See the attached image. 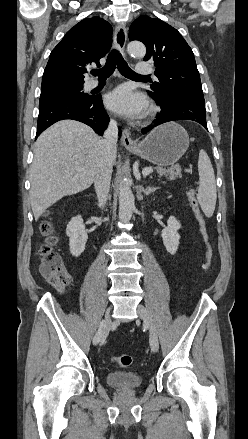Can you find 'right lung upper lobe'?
<instances>
[{
	"label": "right lung upper lobe",
	"instance_id": "obj_1",
	"mask_svg": "<svg viewBox=\"0 0 248 439\" xmlns=\"http://www.w3.org/2000/svg\"><path fill=\"white\" fill-rule=\"evenodd\" d=\"M112 44V27L100 17L86 18L71 28L52 50L43 73L41 96L83 87L91 64L99 60Z\"/></svg>",
	"mask_w": 248,
	"mask_h": 439
}]
</instances>
